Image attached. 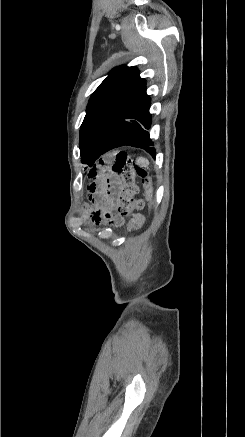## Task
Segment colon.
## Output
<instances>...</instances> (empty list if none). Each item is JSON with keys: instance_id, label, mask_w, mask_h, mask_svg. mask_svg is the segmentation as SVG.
<instances>
[{"instance_id": "colon-1", "label": "colon", "mask_w": 245, "mask_h": 437, "mask_svg": "<svg viewBox=\"0 0 245 437\" xmlns=\"http://www.w3.org/2000/svg\"><path fill=\"white\" fill-rule=\"evenodd\" d=\"M112 171L119 174L123 180V188L118 200L117 211L119 215L126 216L135 210H140L144 206L141 199L136 198L137 186L135 177L142 178L148 197H152V181L148 172L137 166L126 152H120L113 161Z\"/></svg>"}]
</instances>
